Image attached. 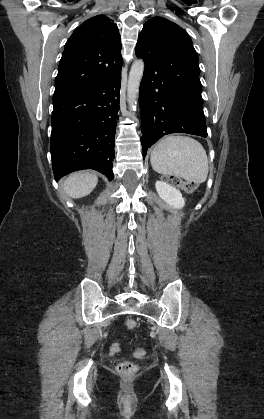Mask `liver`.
<instances>
[{
	"instance_id": "6515ba94",
	"label": "liver",
	"mask_w": 264,
	"mask_h": 419,
	"mask_svg": "<svg viewBox=\"0 0 264 419\" xmlns=\"http://www.w3.org/2000/svg\"><path fill=\"white\" fill-rule=\"evenodd\" d=\"M98 183V177L93 172H75L64 182L65 192L72 198H82L90 194Z\"/></svg>"
}]
</instances>
